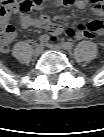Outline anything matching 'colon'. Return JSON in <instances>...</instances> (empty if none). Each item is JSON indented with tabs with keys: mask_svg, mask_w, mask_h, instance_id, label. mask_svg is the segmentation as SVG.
<instances>
[{
	"mask_svg": "<svg viewBox=\"0 0 104 137\" xmlns=\"http://www.w3.org/2000/svg\"><path fill=\"white\" fill-rule=\"evenodd\" d=\"M18 3V8L20 11H28L30 10V6L27 4V2L25 0H6L5 3ZM102 21L100 20H94L91 23L87 24V28L90 30H100L102 29ZM14 32V27L12 25H7V26H1V39L0 41H2L6 36L10 35L11 33ZM65 34L69 37H72L74 34V31L72 29H67L64 31ZM51 39L53 41L56 40V37L53 35L51 37Z\"/></svg>",
	"mask_w": 104,
	"mask_h": 137,
	"instance_id": "5ec220e1",
	"label": "colon"
}]
</instances>
